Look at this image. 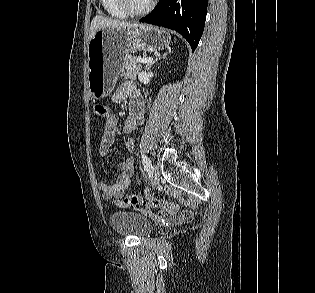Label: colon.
Wrapping results in <instances>:
<instances>
[{
    "instance_id": "5ec220e1",
    "label": "colon",
    "mask_w": 315,
    "mask_h": 293,
    "mask_svg": "<svg viewBox=\"0 0 315 293\" xmlns=\"http://www.w3.org/2000/svg\"><path fill=\"white\" fill-rule=\"evenodd\" d=\"M94 112L98 117L104 119L110 114L108 107L102 103H97L94 105ZM116 204L122 208H129L134 206H147L158 208L161 211H168L170 215L176 216V218L180 221H186L190 218L189 212L177 213V205L172 202L157 198H145L138 194L128 195L127 197L118 200Z\"/></svg>"
}]
</instances>
